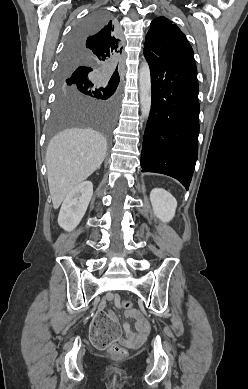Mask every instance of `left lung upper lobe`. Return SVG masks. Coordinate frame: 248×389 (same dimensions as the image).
<instances>
[{"instance_id": "left-lung-upper-lobe-1", "label": "left lung upper lobe", "mask_w": 248, "mask_h": 389, "mask_svg": "<svg viewBox=\"0 0 248 389\" xmlns=\"http://www.w3.org/2000/svg\"><path fill=\"white\" fill-rule=\"evenodd\" d=\"M144 45V50L160 57L193 55L192 47L185 35L165 17H158L151 22Z\"/></svg>"}]
</instances>
